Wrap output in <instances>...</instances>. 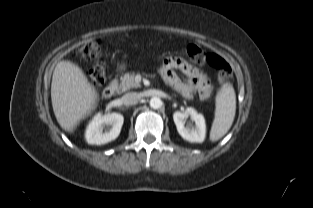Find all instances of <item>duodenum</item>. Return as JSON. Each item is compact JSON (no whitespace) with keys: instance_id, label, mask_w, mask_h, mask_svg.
Returning <instances> with one entry per match:
<instances>
[{"instance_id":"1","label":"duodenum","mask_w":313,"mask_h":208,"mask_svg":"<svg viewBox=\"0 0 313 208\" xmlns=\"http://www.w3.org/2000/svg\"><path fill=\"white\" fill-rule=\"evenodd\" d=\"M116 87H117L116 83H110L109 85H107L102 91V97L104 99L111 98L116 90Z\"/></svg>"}]
</instances>
